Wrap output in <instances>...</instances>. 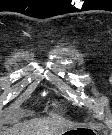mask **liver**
Instances as JSON below:
<instances>
[{"instance_id": "obj_1", "label": "liver", "mask_w": 112, "mask_h": 135, "mask_svg": "<svg viewBox=\"0 0 112 135\" xmlns=\"http://www.w3.org/2000/svg\"><path fill=\"white\" fill-rule=\"evenodd\" d=\"M68 127L61 122L47 119H36L20 127V135H61Z\"/></svg>"}]
</instances>
